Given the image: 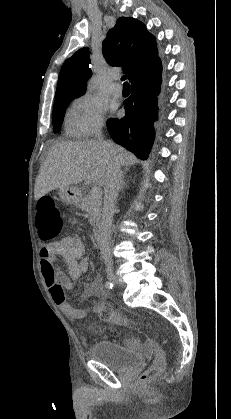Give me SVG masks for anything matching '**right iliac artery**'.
Here are the masks:
<instances>
[{
  "mask_svg": "<svg viewBox=\"0 0 231 419\" xmlns=\"http://www.w3.org/2000/svg\"><path fill=\"white\" fill-rule=\"evenodd\" d=\"M105 287H106L107 289H112V288H113V284H112L111 282L107 281V282L105 283Z\"/></svg>",
  "mask_w": 231,
  "mask_h": 419,
  "instance_id": "right-iliac-artery-1",
  "label": "right iliac artery"
}]
</instances>
